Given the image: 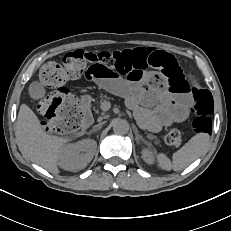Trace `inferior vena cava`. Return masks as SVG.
I'll return each instance as SVG.
<instances>
[{"label":"inferior vena cava","instance_id":"obj_1","mask_svg":"<svg viewBox=\"0 0 231 231\" xmlns=\"http://www.w3.org/2000/svg\"><path fill=\"white\" fill-rule=\"evenodd\" d=\"M102 123L95 125L93 128H98L99 126L101 127Z\"/></svg>","mask_w":231,"mask_h":231}]
</instances>
